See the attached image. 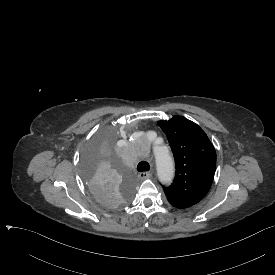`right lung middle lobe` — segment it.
I'll return each mask as SVG.
<instances>
[{
  "mask_svg": "<svg viewBox=\"0 0 275 275\" xmlns=\"http://www.w3.org/2000/svg\"><path fill=\"white\" fill-rule=\"evenodd\" d=\"M119 132L110 125L97 127L88 137L83 151L84 179L95 202L105 210H117L136 197L133 179L117 170Z\"/></svg>",
  "mask_w": 275,
  "mask_h": 275,
  "instance_id": "obj_1",
  "label": "right lung middle lobe"
}]
</instances>
